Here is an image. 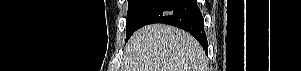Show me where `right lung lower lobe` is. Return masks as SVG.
I'll return each instance as SVG.
<instances>
[{
  "mask_svg": "<svg viewBox=\"0 0 301 71\" xmlns=\"http://www.w3.org/2000/svg\"><path fill=\"white\" fill-rule=\"evenodd\" d=\"M152 23L169 24L188 31L207 51L204 21L196 0H158L144 15L137 29Z\"/></svg>",
  "mask_w": 301,
  "mask_h": 71,
  "instance_id": "obj_1",
  "label": "right lung lower lobe"
}]
</instances>
